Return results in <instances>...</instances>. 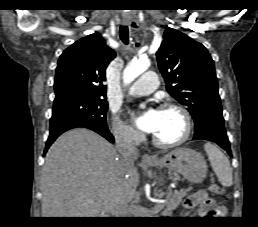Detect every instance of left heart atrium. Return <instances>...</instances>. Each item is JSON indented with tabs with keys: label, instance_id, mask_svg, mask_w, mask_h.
Listing matches in <instances>:
<instances>
[{
	"label": "left heart atrium",
	"instance_id": "1",
	"mask_svg": "<svg viewBox=\"0 0 258 227\" xmlns=\"http://www.w3.org/2000/svg\"><path fill=\"white\" fill-rule=\"evenodd\" d=\"M157 122L158 110L153 108L147 110L142 116L136 119V124L138 127L147 133L154 132L157 126Z\"/></svg>",
	"mask_w": 258,
	"mask_h": 227
}]
</instances>
